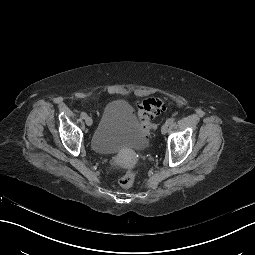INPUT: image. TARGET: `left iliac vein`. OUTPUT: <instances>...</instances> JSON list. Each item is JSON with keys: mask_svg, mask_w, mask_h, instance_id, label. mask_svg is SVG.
I'll return each instance as SVG.
<instances>
[{"mask_svg": "<svg viewBox=\"0 0 255 255\" xmlns=\"http://www.w3.org/2000/svg\"><path fill=\"white\" fill-rule=\"evenodd\" d=\"M167 130H168V125L165 123L162 125L161 127V133L162 134H166L167 133Z\"/></svg>", "mask_w": 255, "mask_h": 255, "instance_id": "left-iliac-vein-1", "label": "left iliac vein"}]
</instances>
